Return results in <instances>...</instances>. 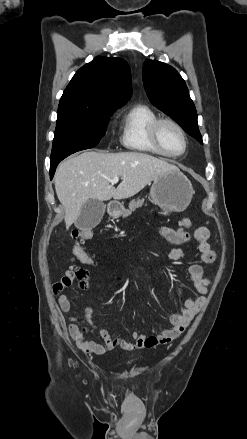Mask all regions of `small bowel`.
<instances>
[{
  "label": "small bowel",
  "mask_w": 247,
  "mask_h": 439,
  "mask_svg": "<svg viewBox=\"0 0 247 439\" xmlns=\"http://www.w3.org/2000/svg\"><path fill=\"white\" fill-rule=\"evenodd\" d=\"M160 232L168 242L173 245L182 246L173 248L169 252L167 256L169 260H179L190 250V245L188 244L190 234L188 232L166 226L161 227ZM209 236L210 232L206 227H199L194 232V238L197 241V246L194 248L195 254L200 258L201 262L205 264L214 262L216 258V254L209 244ZM203 273V268L199 264H193L188 268L189 281L202 296L196 299H185L180 311L173 313L170 316L169 325L159 333H156L155 330H151L145 334L132 331L131 337L134 341H127L119 337H113L108 330L97 329L90 318L93 310L92 308H88L86 317L89 327L97 332L98 336L103 341V344L87 340L85 338V333L88 329L79 326L77 318L73 315H70L68 318L70 335L82 351L94 355L105 354L116 347H119L124 351H134L169 344L185 331L206 301L205 295L208 293L210 280L204 278ZM74 278L75 275L73 272L67 271L63 277L53 285V292L57 296L58 304L61 310L65 313H70L72 311V306L69 297L64 293V290L72 284Z\"/></svg>",
  "instance_id": "obj_1"
}]
</instances>
